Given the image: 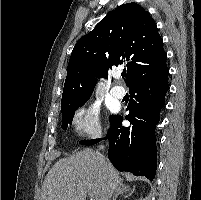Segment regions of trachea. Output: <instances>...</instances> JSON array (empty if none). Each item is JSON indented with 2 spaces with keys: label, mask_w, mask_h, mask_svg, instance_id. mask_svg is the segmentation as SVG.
I'll return each instance as SVG.
<instances>
[{
  "label": "trachea",
  "mask_w": 201,
  "mask_h": 200,
  "mask_svg": "<svg viewBox=\"0 0 201 200\" xmlns=\"http://www.w3.org/2000/svg\"><path fill=\"white\" fill-rule=\"evenodd\" d=\"M126 77V74L125 73H122V78H125Z\"/></svg>",
  "instance_id": "trachea-1"
}]
</instances>
